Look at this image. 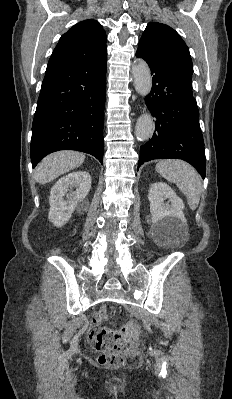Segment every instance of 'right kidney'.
Masks as SVG:
<instances>
[{
	"label": "right kidney",
	"mask_w": 232,
	"mask_h": 399,
	"mask_svg": "<svg viewBox=\"0 0 232 399\" xmlns=\"http://www.w3.org/2000/svg\"><path fill=\"white\" fill-rule=\"evenodd\" d=\"M91 188V176L88 172H72L63 176L50 190V211L48 219L61 227L67 223L74 209H87L89 201L86 196Z\"/></svg>",
	"instance_id": "right-kidney-1"
}]
</instances>
